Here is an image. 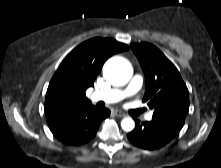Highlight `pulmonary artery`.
<instances>
[{"label": "pulmonary artery", "mask_w": 221, "mask_h": 168, "mask_svg": "<svg viewBox=\"0 0 221 168\" xmlns=\"http://www.w3.org/2000/svg\"><path fill=\"white\" fill-rule=\"evenodd\" d=\"M142 83H143V77L139 74H136L131 79L129 85L125 89L113 88V89L95 91L92 94L91 98L94 101L116 103L127 96L137 93L141 88ZM145 119L150 121L152 119V115L147 114Z\"/></svg>", "instance_id": "1"}]
</instances>
